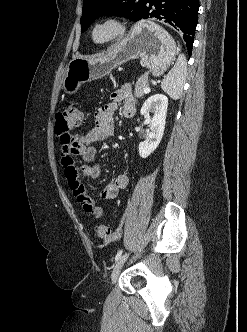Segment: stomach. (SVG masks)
Segmentation results:
<instances>
[{
  "mask_svg": "<svg viewBox=\"0 0 247 332\" xmlns=\"http://www.w3.org/2000/svg\"><path fill=\"white\" fill-rule=\"evenodd\" d=\"M176 54L172 37L158 24L142 20L105 55L73 58L66 68L63 90L67 94H75L82 84L100 79L119 65L137 58H141L154 76H160L173 63Z\"/></svg>",
  "mask_w": 247,
  "mask_h": 332,
  "instance_id": "1",
  "label": "stomach"
}]
</instances>
